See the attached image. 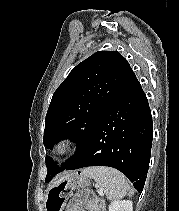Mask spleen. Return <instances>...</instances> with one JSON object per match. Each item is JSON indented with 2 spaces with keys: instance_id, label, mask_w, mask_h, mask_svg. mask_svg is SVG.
<instances>
[{
  "instance_id": "spleen-1",
  "label": "spleen",
  "mask_w": 179,
  "mask_h": 211,
  "mask_svg": "<svg viewBox=\"0 0 179 211\" xmlns=\"http://www.w3.org/2000/svg\"><path fill=\"white\" fill-rule=\"evenodd\" d=\"M83 175L96 182V188L105 191L107 199L116 201L127 195L130 185L126 177L118 170L110 167H88Z\"/></svg>"
}]
</instances>
